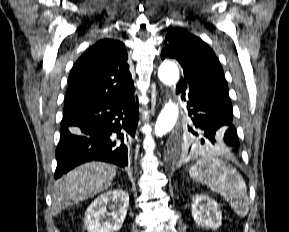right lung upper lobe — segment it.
Returning <instances> with one entry per match:
<instances>
[{"label":"right lung upper lobe","instance_id":"cb5924a9","mask_svg":"<svg viewBox=\"0 0 289 232\" xmlns=\"http://www.w3.org/2000/svg\"><path fill=\"white\" fill-rule=\"evenodd\" d=\"M125 45L104 39L90 47L73 66L69 75L64 112L112 101L134 88Z\"/></svg>","mask_w":289,"mask_h":232}]
</instances>
